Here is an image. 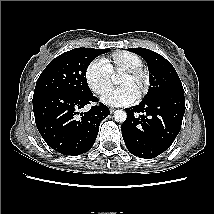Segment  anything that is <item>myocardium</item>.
I'll use <instances>...</instances> for the list:
<instances>
[{
    "label": "myocardium",
    "instance_id": "f54148a6",
    "mask_svg": "<svg viewBox=\"0 0 214 214\" xmlns=\"http://www.w3.org/2000/svg\"><path fill=\"white\" fill-rule=\"evenodd\" d=\"M123 74L131 77L139 85L138 97H142L148 88L149 74L142 66L137 68L128 69L122 72Z\"/></svg>",
    "mask_w": 214,
    "mask_h": 214
}]
</instances>
